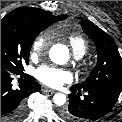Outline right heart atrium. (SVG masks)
I'll list each match as a JSON object with an SVG mask.
<instances>
[{"label": "right heart atrium", "mask_w": 122, "mask_h": 122, "mask_svg": "<svg viewBox=\"0 0 122 122\" xmlns=\"http://www.w3.org/2000/svg\"><path fill=\"white\" fill-rule=\"evenodd\" d=\"M50 34L49 33H42L40 34L33 42L32 45V53L35 57L43 54L50 45Z\"/></svg>", "instance_id": "d8ad5b80"}]
</instances>
